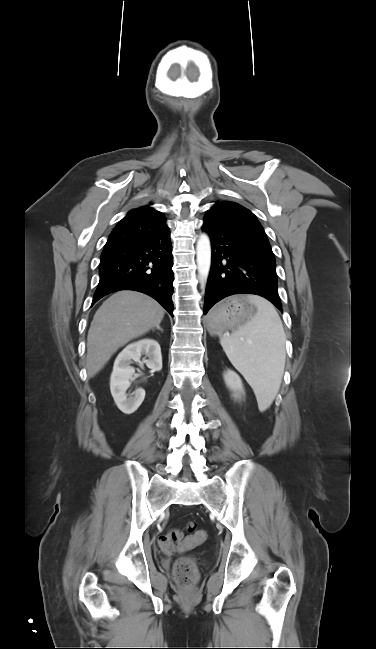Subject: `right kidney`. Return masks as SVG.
I'll return each mask as SVG.
<instances>
[{
	"label": "right kidney",
	"instance_id": "obj_1",
	"mask_svg": "<svg viewBox=\"0 0 376 649\" xmlns=\"http://www.w3.org/2000/svg\"><path fill=\"white\" fill-rule=\"evenodd\" d=\"M145 355L143 362L152 371L162 369V355L159 343L151 338H144L126 346L117 356L110 378V390L117 407L125 414L135 412L145 398V390L139 388L131 395L126 394L130 387V378L135 373L130 364L138 362Z\"/></svg>",
	"mask_w": 376,
	"mask_h": 649
}]
</instances>
